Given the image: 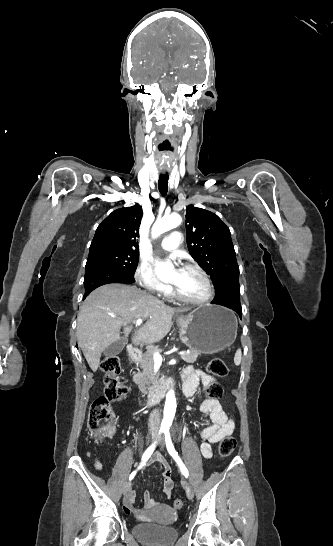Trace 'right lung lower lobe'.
<instances>
[{"mask_svg": "<svg viewBox=\"0 0 333 546\" xmlns=\"http://www.w3.org/2000/svg\"><path fill=\"white\" fill-rule=\"evenodd\" d=\"M135 282L134 276L104 266H93L85 269V294L83 300L97 287L110 283L131 284Z\"/></svg>", "mask_w": 333, "mask_h": 546, "instance_id": "obj_1", "label": "right lung lower lobe"}]
</instances>
